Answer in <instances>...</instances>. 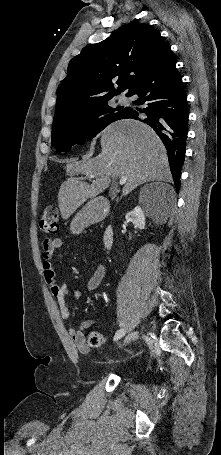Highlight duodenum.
I'll return each mask as SVG.
<instances>
[{
  "instance_id": "410a0bca",
  "label": "duodenum",
  "mask_w": 221,
  "mask_h": 455,
  "mask_svg": "<svg viewBox=\"0 0 221 455\" xmlns=\"http://www.w3.org/2000/svg\"><path fill=\"white\" fill-rule=\"evenodd\" d=\"M109 212V205L106 201H102L96 207L94 216L96 220L103 219ZM103 244L106 249L110 250L114 244V228L112 225H108L103 233Z\"/></svg>"
}]
</instances>
